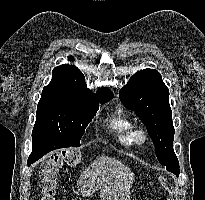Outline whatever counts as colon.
<instances>
[{"mask_svg": "<svg viewBox=\"0 0 205 200\" xmlns=\"http://www.w3.org/2000/svg\"><path fill=\"white\" fill-rule=\"evenodd\" d=\"M81 153L75 148H66L54 153L41 167L40 186L42 200H53L56 189V178L64 166L76 167L81 163ZM165 182V179H163Z\"/></svg>", "mask_w": 205, "mask_h": 200, "instance_id": "colon-1", "label": "colon"}]
</instances>
